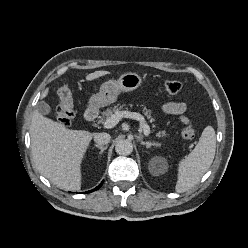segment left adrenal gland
Segmentation results:
<instances>
[{
  "instance_id": "obj_1",
  "label": "left adrenal gland",
  "mask_w": 248,
  "mask_h": 248,
  "mask_svg": "<svg viewBox=\"0 0 248 248\" xmlns=\"http://www.w3.org/2000/svg\"><path fill=\"white\" fill-rule=\"evenodd\" d=\"M141 144L142 145H145L147 149H149L152 146H158V144L155 143V142H144V141H141Z\"/></svg>"
}]
</instances>
